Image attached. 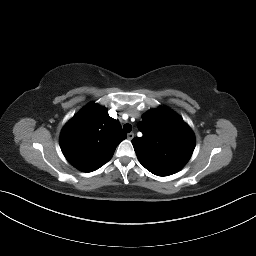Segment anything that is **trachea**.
Here are the masks:
<instances>
[{"instance_id":"trachea-1","label":"trachea","mask_w":256,"mask_h":256,"mask_svg":"<svg viewBox=\"0 0 256 256\" xmlns=\"http://www.w3.org/2000/svg\"><path fill=\"white\" fill-rule=\"evenodd\" d=\"M123 130H124L125 132L129 133V132H131V130H132V126H131L130 124H125V125L123 126Z\"/></svg>"}]
</instances>
